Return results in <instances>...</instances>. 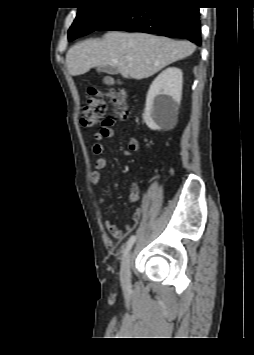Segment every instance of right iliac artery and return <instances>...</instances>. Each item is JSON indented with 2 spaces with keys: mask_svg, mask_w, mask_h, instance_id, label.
I'll return each mask as SVG.
<instances>
[{
  "mask_svg": "<svg viewBox=\"0 0 254 355\" xmlns=\"http://www.w3.org/2000/svg\"><path fill=\"white\" fill-rule=\"evenodd\" d=\"M136 241V236L132 235L126 243V248L123 252V256H126L129 250L132 248L134 242Z\"/></svg>",
  "mask_w": 254,
  "mask_h": 355,
  "instance_id": "1",
  "label": "right iliac artery"
}]
</instances>
